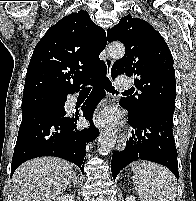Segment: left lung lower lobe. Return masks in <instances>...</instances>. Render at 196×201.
I'll list each match as a JSON object with an SVG mask.
<instances>
[{
  "mask_svg": "<svg viewBox=\"0 0 196 201\" xmlns=\"http://www.w3.org/2000/svg\"><path fill=\"white\" fill-rule=\"evenodd\" d=\"M122 106V104L120 103ZM129 114L134 127L123 151L114 152L111 161L115 179L121 169L135 160H148L169 168L178 179L177 150L172 132L173 113L147 109L139 115Z\"/></svg>",
  "mask_w": 196,
  "mask_h": 201,
  "instance_id": "left-lung-lower-lobe-1",
  "label": "left lung lower lobe"
}]
</instances>
